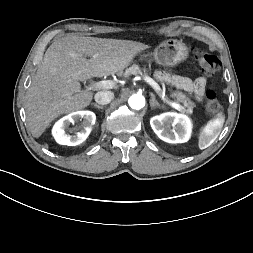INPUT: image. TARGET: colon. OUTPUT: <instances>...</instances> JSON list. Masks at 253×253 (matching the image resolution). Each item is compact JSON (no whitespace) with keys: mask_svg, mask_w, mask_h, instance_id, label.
I'll return each mask as SVG.
<instances>
[{"mask_svg":"<svg viewBox=\"0 0 253 253\" xmlns=\"http://www.w3.org/2000/svg\"><path fill=\"white\" fill-rule=\"evenodd\" d=\"M196 59L201 67L202 71L207 75H213L218 72L221 67L219 59L202 50L195 52ZM206 110L210 114L219 113L222 106L217 98V95L213 91H207L206 93Z\"/></svg>","mask_w":253,"mask_h":253,"instance_id":"colon-1","label":"colon"}]
</instances>
